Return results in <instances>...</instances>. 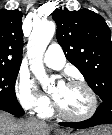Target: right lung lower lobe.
<instances>
[{
    "label": "right lung lower lobe",
    "mask_w": 112,
    "mask_h": 135,
    "mask_svg": "<svg viewBox=\"0 0 112 135\" xmlns=\"http://www.w3.org/2000/svg\"><path fill=\"white\" fill-rule=\"evenodd\" d=\"M0 110L6 111L16 116H22L24 111L19 104L0 103Z\"/></svg>",
    "instance_id": "right-lung-lower-lobe-1"
}]
</instances>
